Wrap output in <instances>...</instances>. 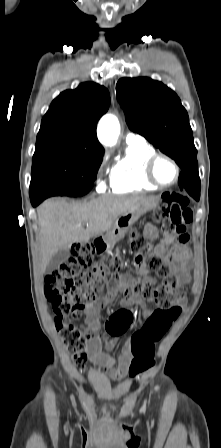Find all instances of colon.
Instances as JSON below:
<instances>
[{
	"label": "colon",
	"instance_id": "5ec220e1",
	"mask_svg": "<svg viewBox=\"0 0 221 448\" xmlns=\"http://www.w3.org/2000/svg\"><path fill=\"white\" fill-rule=\"evenodd\" d=\"M161 201L162 208L153 214L154 220L162 225L165 236L185 237L188 234L187 225L193 218L188 198L170 192L162 195ZM129 238L137 261L145 263L161 280L159 287L140 282L133 284L136 294L158 306L132 338L134 359L130 364L129 375L135 379L154 365V342L160 340L180 316L181 308L175 301L181 297L184 289L176 272L154 251L153 234L141 236L132 231ZM106 274L104 266L93 261L92 247L79 244L72 247L69 258L58 269L47 274L45 279L44 292L55 313L56 329L78 366L84 365L86 361L85 342L88 335L68 317L97 300ZM139 333H144L148 339L142 338Z\"/></svg>",
	"mask_w": 221,
	"mask_h": 448
}]
</instances>
